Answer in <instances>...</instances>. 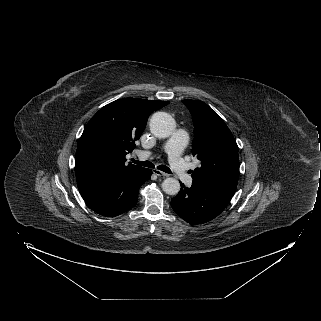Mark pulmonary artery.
Wrapping results in <instances>:
<instances>
[{"label": "pulmonary artery", "mask_w": 321, "mask_h": 321, "mask_svg": "<svg viewBox=\"0 0 321 321\" xmlns=\"http://www.w3.org/2000/svg\"><path fill=\"white\" fill-rule=\"evenodd\" d=\"M187 133L183 130L175 131L172 136L166 141L164 150L168 154V161L171 169L177 178L184 184L191 186L192 177L188 172V167L182 158L183 149L187 143ZM152 152L140 151L138 156L142 159L150 158Z\"/></svg>", "instance_id": "1"}]
</instances>
